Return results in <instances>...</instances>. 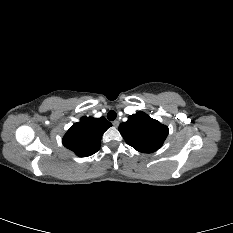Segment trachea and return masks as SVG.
<instances>
[{
  "instance_id": "1",
  "label": "trachea",
  "mask_w": 233,
  "mask_h": 233,
  "mask_svg": "<svg viewBox=\"0 0 233 233\" xmlns=\"http://www.w3.org/2000/svg\"><path fill=\"white\" fill-rule=\"evenodd\" d=\"M116 117H117V114H116V112L113 111V110H111V111H109V112L107 113V118H108V120H110V121L115 120Z\"/></svg>"
}]
</instances>
